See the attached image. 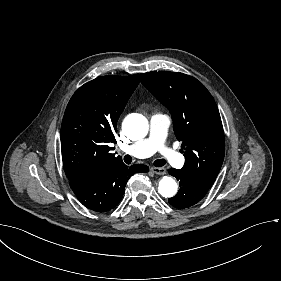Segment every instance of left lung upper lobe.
Here are the masks:
<instances>
[{
    "instance_id": "obj_1",
    "label": "left lung upper lobe",
    "mask_w": 281,
    "mask_h": 281,
    "mask_svg": "<svg viewBox=\"0 0 281 281\" xmlns=\"http://www.w3.org/2000/svg\"><path fill=\"white\" fill-rule=\"evenodd\" d=\"M141 83L172 114L174 132L182 141L181 169L211 187L223 163L225 138L217 105L204 85L176 72L140 74Z\"/></svg>"
}]
</instances>
